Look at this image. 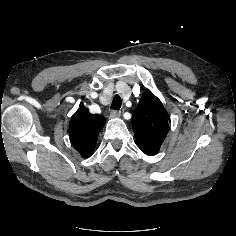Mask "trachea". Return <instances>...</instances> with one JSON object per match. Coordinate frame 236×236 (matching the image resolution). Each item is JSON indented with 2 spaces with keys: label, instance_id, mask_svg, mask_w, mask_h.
Here are the masks:
<instances>
[{
  "label": "trachea",
  "instance_id": "1",
  "mask_svg": "<svg viewBox=\"0 0 236 236\" xmlns=\"http://www.w3.org/2000/svg\"><path fill=\"white\" fill-rule=\"evenodd\" d=\"M121 97L116 94L113 98L112 104H111V109L113 110H119L121 108Z\"/></svg>",
  "mask_w": 236,
  "mask_h": 236
}]
</instances>
